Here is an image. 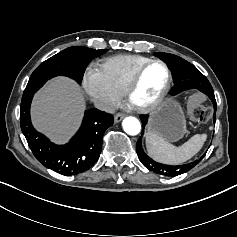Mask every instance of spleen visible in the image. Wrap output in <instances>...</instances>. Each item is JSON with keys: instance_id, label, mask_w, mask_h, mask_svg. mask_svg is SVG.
<instances>
[{"instance_id": "1", "label": "spleen", "mask_w": 237, "mask_h": 237, "mask_svg": "<svg viewBox=\"0 0 237 237\" xmlns=\"http://www.w3.org/2000/svg\"><path fill=\"white\" fill-rule=\"evenodd\" d=\"M206 139V134H196L187 142L177 147L167 142L160 134L148 131L146 133V148L148 155L155 161L169 165H178L197 154Z\"/></svg>"}]
</instances>
